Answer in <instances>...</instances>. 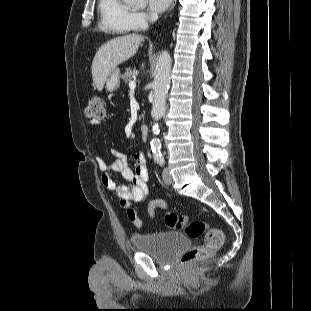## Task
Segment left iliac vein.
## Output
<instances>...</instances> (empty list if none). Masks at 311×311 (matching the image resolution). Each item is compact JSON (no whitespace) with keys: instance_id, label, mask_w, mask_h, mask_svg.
I'll return each mask as SVG.
<instances>
[{"instance_id":"1","label":"left iliac vein","mask_w":311,"mask_h":311,"mask_svg":"<svg viewBox=\"0 0 311 311\" xmlns=\"http://www.w3.org/2000/svg\"><path fill=\"white\" fill-rule=\"evenodd\" d=\"M163 181L166 185H170L172 183V177L168 168H164L163 170Z\"/></svg>"}]
</instances>
